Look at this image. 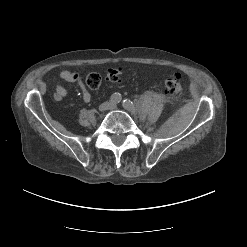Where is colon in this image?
I'll return each instance as SVG.
<instances>
[{"label": "colon", "instance_id": "obj_1", "mask_svg": "<svg viewBox=\"0 0 247 247\" xmlns=\"http://www.w3.org/2000/svg\"><path fill=\"white\" fill-rule=\"evenodd\" d=\"M116 70L110 69L107 72V77H113ZM86 85L90 89H97L101 84V76L97 73H90L86 77ZM181 76L178 73H173L167 77L164 82V92L172 98H179L182 95Z\"/></svg>", "mask_w": 247, "mask_h": 247}]
</instances>
